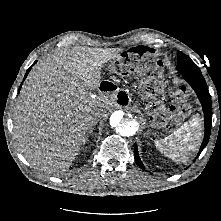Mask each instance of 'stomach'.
Instances as JSON below:
<instances>
[{
	"label": "stomach",
	"mask_w": 221,
	"mask_h": 221,
	"mask_svg": "<svg viewBox=\"0 0 221 221\" xmlns=\"http://www.w3.org/2000/svg\"><path fill=\"white\" fill-rule=\"evenodd\" d=\"M165 86L163 67L160 64H156L153 73L147 74L139 85L142 98L146 101L145 111L151 116L152 125L157 128L165 126L172 116H177L178 120L184 119L178 108L172 113V104L166 99Z\"/></svg>",
	"instance_id": "0dacf381"
}]
</instances>
